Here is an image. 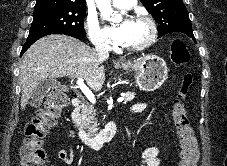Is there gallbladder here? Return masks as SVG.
Masks as SVG:
<instances>
[{"mask_svg":"<svg viewBox=\"0 0 227 166\" xmlns=\"http://www.w3.org/2000/svg\"><path fill=\"white\" fill-rule=\"evenodd\" d=\"M53 87H61L63 89H66V86L61 85L55 79L50 78V79H46V80H41L37 83L34 95L32 97V102L41 103L43 98L47 95V93Z\"/></svg>","mask_w":227,"mask_h":166,"instance_id":"gallbladder-1","label":"gallbladder"}]
</instances>
